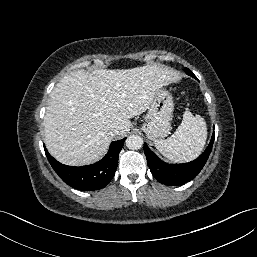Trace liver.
Wrapping results in <instances>:
<instances>
[{
  "label": "liver",
  "mask_w": 257,
  "mask_h": 257,
  "mask_svg": "<svg viewBox=\"0 0 257 257\" xmlns=\"http://www.w3.org/2000/svg\"><path fill=\"white\" fill-rule=\"evenodd\" d=\"M178 77L175 70L157 64L70 72L56 84L46 108L44 141L49 153L71 166L99 160L113 138L110 129L126 135L129 119L145 112L155 93Z\"/></svg>",
  "instance_id": "6515ba94"
}]
</instances>
